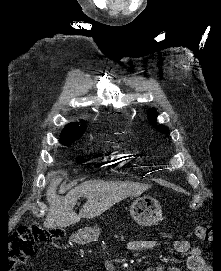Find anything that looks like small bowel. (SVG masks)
<instances>
[{"mask_svg": "<svg viewBox=\"0 0 221 271\" xmlns=\"http://www.w3.org/2000/svg\"><path fill=\"white\" fill-rule=\"evenodd\" d=\"M157 242L152 239L146 240H131L127 243V249L132 252L150 251L156 247ZM174 248L179 253H188L187 267L190 271H207L208 268L202 258L201 248L198 246H192L187 240H176L174 242ZM109 271H115L112 266H108ZM146 271H180L179 268L174 266L166 267L163 264H157L149 267Z\"/></svg>", "mask_w": 221, "mask_h": 271, "instance_id": "1", "label": "small bowel"}]
</instances>
